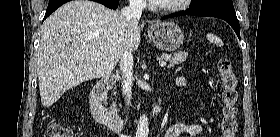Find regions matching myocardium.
<instances>
[{"mask_svg":"<svg viewBox=\"0 0 280 137\" xmlns=\"http://www.w3.org/2000/svg\"><path fill=\"white\" fill-rule=\"evenodd\" d=\"M188 2V0H177L176 3L172 4V5H167V6H160V5H156V4H151V8L155 11L158 12H175L177 10L182 9L185 4Z\"/></svg>","mask_w":280,"mask_h":137,"instance_id":"obj_1","label":"myocardium"}]
</instances>
